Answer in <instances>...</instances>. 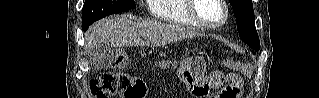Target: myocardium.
Returning <instances> with one entry per match:
<instances>
[{"instance_id":"f54148a6","label":"myocardium","mask_w":319,"mask_h":98,"mask_svg":"<svg viewBox=\"0 0 319 98\" xmlns=\"http://www.w3.org/2000/svg\"><path fill=\"white\" fill-rule=\"evenodd\" d=\"M196 1L197 0H188V13L190 15V17L197 23L199 24L201 27L209 29V30H216V29H220L222 28L229 19V10H228V6L226 4V1L224 0H218L219 4L222 6L223 10H224V16L221 22L217 23V24H210L208 22H206L205 20H203L198 13L196 12Z\"/></svg>"}]
</instances>
